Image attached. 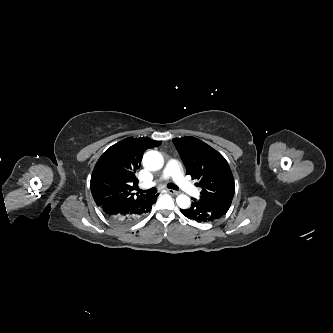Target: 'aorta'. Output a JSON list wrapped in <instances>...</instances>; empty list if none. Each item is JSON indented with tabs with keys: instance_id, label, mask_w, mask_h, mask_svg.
<instances>
[{
	"instance_id": "obj_1",
	"label": "aorta",
	"mask_w": 333,
	"mask_h": 333,
	"mask_svg": "<svg viewBox=\"0 0 333 333\" xmlns=\"http://www.w3.org/2000/svg\"><path fill=\"white\" fill-rule=\"evenodd\" d=\"M143 164L149 170H159L163 166L162 155L157 151H149L143 156ZM176 202L182 209H187L190 206V198L186 195H179Z\"/></svg>"
}]
</instances>
